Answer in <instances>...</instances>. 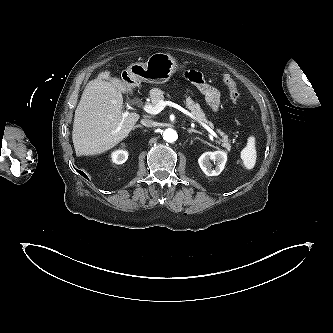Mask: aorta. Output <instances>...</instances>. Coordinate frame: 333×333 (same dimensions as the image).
Here are the masks:
<instances>
[{"label":"aorta","mask_w":333,"mask_h":333,"mask_svg":"<svg viewBox=\"0 0 333 333\" xmlns=\"http://www.w3.org/2000/svg\"><path fill=\"white\" fill-rule=\"evenodd\" d=\"M163 139L167 142H174L177 139V132L171 128H168L163 133Z\"/></svg>","instance_id":"obj_1"}]
</instances>
